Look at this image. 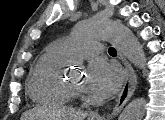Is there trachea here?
I'll return each instance as SVG.
<instances>
[{
	"instance_id": "1",
	"label": "trachea",
	"mask_w": 165,
	"mask_h": 120,
	"mask_svg": "<svg viewBox=\"0 0 165 120\" xmlns=\"http://www.w3.org/2000/svg\"><path fill=\"white\" fill-rule=\"evenodd\" d=\"M108 52H109L110 55L117 54L116 49L113 48V47H110L109 50H108Z\"/></svg>"
}]
</instances>
